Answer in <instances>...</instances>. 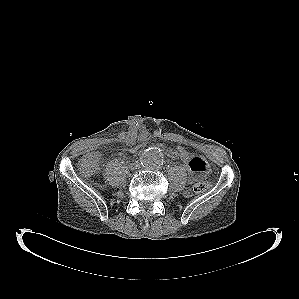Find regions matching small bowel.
<instances>
[{
  "instance_id": "small-bowel-1",
  "label": "small bowel",
  "mask_w": 299,
  "mask_h": 299,
  "mask_svg": "<svg viewBox=\"0 0 299 299\" xmlns=\"http://www.w3.org/2000/svg\"><path fill=\"white\" fill-rule=\"evenodd\" d=\"M140 148H141L140 145L127 146L123 149V151L129 153H135ZM187 167L190 171L189 179L191 182H196L198 179H200L201 177L205 176L208 173V165L206 161L198 155L193 154L192 160L187 165Z\"/></svg>"
}]
</instances>
